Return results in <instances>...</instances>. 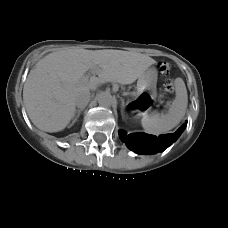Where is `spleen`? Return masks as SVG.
<instances>
[{
  "instance_id": "obj_1",
  "label": "spleen",
  "mask_w": 228,
  "mask_h": 228,
  "mask_svg": "<svg viewBox=\"0 0 228 228\" xmlns=\"http://www.w3.org/2000/svg\"><path fill=\"white\" fill-rule=\"evenodd\" d=\"M188 104L187 89L184 82L177 81L176 96L166 113L144 115L141 125L146 133L158 135L177 126L185 115Z\"/></svg>"
}]
</instances>
